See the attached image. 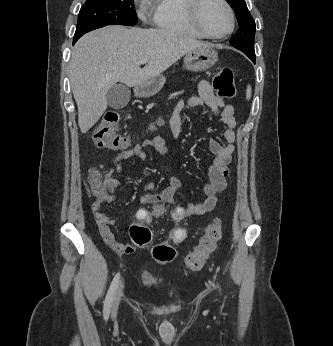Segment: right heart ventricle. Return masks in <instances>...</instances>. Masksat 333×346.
<instances>
[{
	"mask_svg": "<svg viewBox=\"0 0 333 346\" xmlns=\"http://www.w3.org/2000/svg\"><path fill=\"white\" fill-rule=\"evenodd\" d=\"M154 23L163 30L203 38L189 18L187 0H157Z\"/></svg>",
	"mask_w": 333,
	"mask_h": 346,
	"instance_id": "right-heart-ventricle-1",
	"label": "right heart ventricle"
}]
</instances>
